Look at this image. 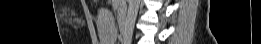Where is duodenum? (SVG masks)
<instances>
[{
	"instance_id": "obj_1",
	"label": "duodenum",
	"mask_w": 261,
	"mask_h": 44,
	"mask_svg": "<svg viewBox=\"0 0 261 44\" xmlns=\"http://www.w3.org/2000/svg\"><path fill=\"white\" fill-rule=\"evenodd\" d=\"M118 25L122 34L125 33V13L123 10H120L118 13Z\"/></svg>"
}]
</instances>
